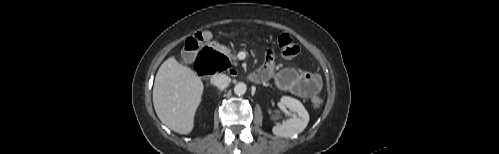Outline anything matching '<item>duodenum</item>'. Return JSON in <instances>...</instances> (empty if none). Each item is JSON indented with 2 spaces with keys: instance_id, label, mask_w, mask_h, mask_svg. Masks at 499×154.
I'll return each mask as SVG.
<instances>
[{
  "instance_id": "obj_1",
  "label": "duodenum",
  "mask_w": 499,
  "mask_h": 154,
  "mask_svg": "<svg viewBox=\"0 0 499 154\" xmlns=\"http://www.w3.org/2000/svg\"><path fill=\"white\" fill-rule=\"evenodd\" d=\"M219 56L221 55L218 52H214L212 50L209 53H202L196 61L197 73L203 76L214 73L218 68L214 58ZM248 79L254 83H260L263 81L261 74L257 71L250 73L248 75Z\"/></svg>"
}]
</instances>
